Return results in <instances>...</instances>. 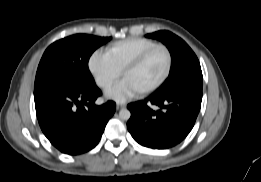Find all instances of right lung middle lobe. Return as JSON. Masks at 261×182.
I'll list each match as a JSON object with an SVG mask.
<instances>
[{"mask_svg":"<svg viewBox=\"0 0 261 182\" xmlns=\"http://www.w3.org/2000/svg\"><path fill=\"white\" fill-rule=\"evenodd\" d=\"M109 40L111 37L76 34L54 42L42 56L34 87L62 80L81 91L96 88L88 61L92 53Z\"/></svg>","mask_w":261,"mask_h":182,"instance_id":"right-lung-middle-lobe-1","label":"right lung middle lobe"}]
</instances>
